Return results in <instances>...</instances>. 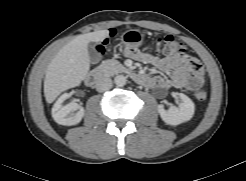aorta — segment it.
<instances>
[{"instance_id": "obj_1", "label": "aorta", "mask_w": 246, "mask_h": 181, "mask_svg": "<svg viewBox=\"0 0 246 181\" xmlns=\"http://www.w3.org/2000/svg\"><path fill=\"white\" fill-rule=\"evenodd\" d=\"M114 82L115 84L118 86V87H123L124 85H126V77L123 76V75H117L115 78H114Z\"/></svg>"}]
</instances>
